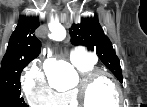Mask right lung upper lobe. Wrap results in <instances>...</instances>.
Segmentation results:
<instances>
[{
  "instance_id": "obj_1",
  "label": "right lung upper lobe",
  "mask_w": 147,
  "mask_h": 107,
  "mask_svg": "<svg viewBox=\"0 0 147 107\" xmlns=\"http://www.w3.org/2000/svg\"><path fill=\"white\" fill-rule=\"evenodd\" d=\"M37 27H39V20L36 18L19 19L1 62L0 76L12 71L17 72L39 55L41 42L34 35Z\"/></svg>"
}]
</instances>
